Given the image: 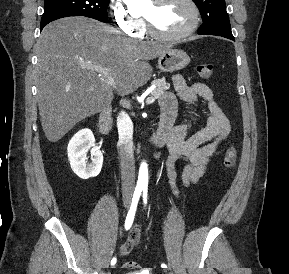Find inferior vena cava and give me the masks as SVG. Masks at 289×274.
<instances>
[{
  "label": "inferior vena cava",
  "instance_id": "1",
  "mask_svg": "<svg viewBox=\"0 0 289 274\" xmlns=\"http://www.w3.org/2000/svg\"><path fill=\"white\" fill-rule=\"evenodd\" d=\"M119 134L122 193L131 196L135 188V162L133 155V124L127 113L117 118Z\"/></svg>",
  "mask_w": 289,
  "mask_h": 274
}]
</instances>
